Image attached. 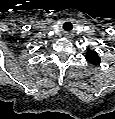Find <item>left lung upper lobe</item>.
Masks as SVG:
<instances>
[{
	"label": "left lung upper lobe",
	"instance_id": "1",
	"mask_svg": "<svg viewBox=\"0 0 115 119\" xmlns=\"http://www.w3.org/2000/svg\"><path fill=\"white\" fill-rule=\"evenodd\" d=\"M85 58L92 65H98L101 62L100 57L98 56L97 52H95V51L88 50L86 52Z\"/></svg>",
	"mask_w": 115,
	"mask_h": 119
}]
</instances>
